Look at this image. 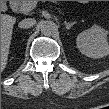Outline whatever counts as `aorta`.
<instances>
[{
  "instance_id": "obj_1",
  "label": "aorta",
  "mask_w": 109,
  "mask_h": 109,
  "mask_svg": "<svg viewBox=\"0 0 109 109\" xmlns=\"http://www.w3.org/2000/svg\"><path fill=\"white\" fill-rule=\"evenodd\" d=\"M40 31L45 36H52L58 31V27L53 21L45 20L40 23Z\"/></svg>"
}]
</instances>
